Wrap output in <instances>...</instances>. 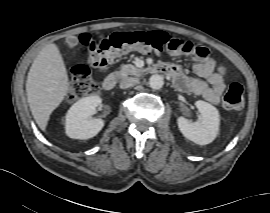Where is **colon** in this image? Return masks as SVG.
Wrapping results in <instances>:
<instances>
[{
  "mask_svg": "<svg viewBox=\"0 0 270 213\" xmlns=\"http://www.w3.org/2000/svg\"><path fill=\"white\" fill-rule=\"evenodd\" d=\"M78 43L89 53L93 65L111 63L123 52L160 53L164 47L170 52L194 54L204 58L208 54L206 47L190 41L179 39L164 31L153 30L134 33H113L107 36L83 33ZM223 71V70H222ZM98 91V85L93 80L86 66H76L71 73V85L68 98L75 101ZM244 102V91L241 84L233 82L223 96L222 106L226 110L240 109Z\"/></svg>",
  "mask_w": 270,
  "mask_h": 213,
  "instance_id": "1",
  "label": "colon"
}]
</instances>
